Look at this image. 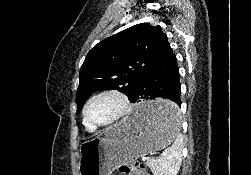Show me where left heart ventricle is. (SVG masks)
I'll return each instance as SVG.
<instances>
[{"label":"left heart ventricle","mask_w":251,"mask_h":175,"mask_svg":"<svg viewBox=\"0 0 251 175\" xmlns=\"http://www.w3.org/2000/svg\"><path fill=\"white\" fill-rule=\"evenodd\" d=\"M123 112V104L115 94H104L94 99L88 108L89 125H108L117 120Z\"/></svg>","instance_id":"b2bd125f"}]
</instances>
